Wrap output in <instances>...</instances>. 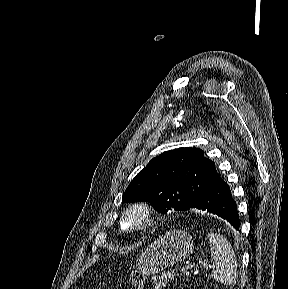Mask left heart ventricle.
<instances>
[{
  "label": "left heart ventricle",
  "mask_w": 288,
  "mask_h": 289,
  "mask_svg": "<svg viewBox=\"0 0 288 289\" xmlns=\"http://www.w3.org/2000/svg\"><path fill=\"white\" fill-rule=\"evenodd\" d=\"M134 223V218H128L125 222V226L128 227Z\"/></svg>",
  "instance_id": "1"
}]
</instances>
